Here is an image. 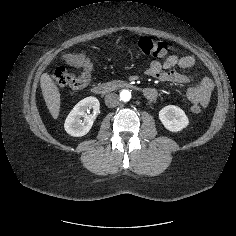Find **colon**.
<instances>
[{
  "label": "colon",
  "mask_w": 236,
  "mask_h": 236,
  "mask_svg": "<svg viewBox=\"0 0 236 236\" xmlns=\"http://www.w3.org/2000/svg\"><path fill=\"white\" fill-rule=\"evenodd\" d=\"M139 50L145 55L152 57H167L171 54V49L164 42L142 37L137 42ZM63 59L68 64L80 69L78 74H73L66 69L59 68L52 73V80L58 87L82 88L90 80L92 73V62L89 56L83 52L74 51L66 53ZM191 111L195 114L201 112V106L193 105Z\"/></svg>",
  "instance_id": "obj_1"
}]
</instances>
